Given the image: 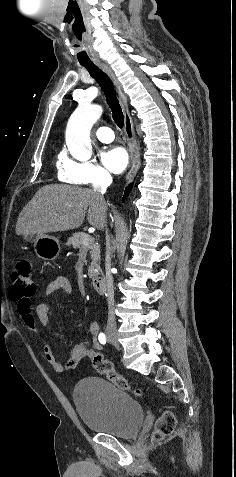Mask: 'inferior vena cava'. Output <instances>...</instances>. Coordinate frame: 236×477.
I'll use <instances>...</instances> for the list:
<instances>
[{
  "instance_id": "obj_1",
  "label": "inferior vena cava",
  "mask_w": 236,
  "mask_h": 477,
  "mask_svg": "<svg viewBox=\"0 0 236 477\" xmlns=\"http://www.w3.org/2000/svg\"><path fill=\"white\" fill-rule=\"evenodd\" d=\"M112 183L111 176H106L99 180L93 185V191L98 194L102 199H104V194L107 187ZM106 223V220H105ZM105 269H106V282H107V302H108V323L110 325H115V316H114V286H113V276L111 272V248L109 243L108 231H106V259H105Z\"/></svg>"
}]
</instances>
